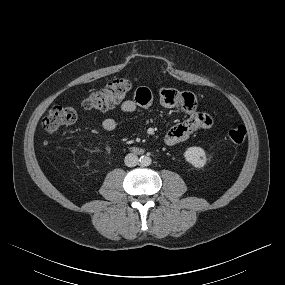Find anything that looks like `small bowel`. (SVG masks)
Listing matches in <instances>:
<instances>
[{"label": "small bowel", "instance_id": "c3829d8e", "mask_svg": "<svg viewBox=\"0 0 285 285\" xmlns=\"http://www.w3.org/2000/svg\"><path fill=\"white\" fill-rule=\"evenodd\" d=\"M160 100L166 107H181L188 118L174 125L165 135V143L175 145L189 138L191 134L200 129H210L214 125L213 117L205 112L197 110V102L193 93L189 91H178L171 88H163L160 91ZM153 103V94L146 86L137 88L133 99L124 100L120 104L122 112L130 114L138 108L147 109ZM118 127V122L113 118L102 121V128L111 132Z\"/></svg>", "mask_w": 285, "mask_h": 285}]
</instances>
